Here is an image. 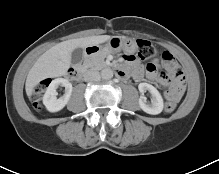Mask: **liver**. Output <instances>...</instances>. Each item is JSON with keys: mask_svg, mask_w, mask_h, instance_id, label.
Returning <instances> with one entry per match:
<instances>
[{"mask_svg": "<svg viewBox=\"0 0 219 174\" xmlns=\"http://www.w3.org/2000/svg\"><path fill=\"white\" fill-rule=\"evenodd\" d=\"M112 37L109 35L89 36L61 42L43 53L30 69L25 90L28 97L34 87L46 78H55L66 75L71 65V53L76 48H85L102 44Z\"/></svg>", "mask_w": 219, "mask_h": 174, "instance_id": "obj_1", "label": "liver"}]
</instances>
